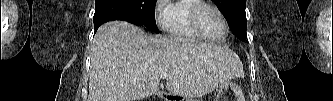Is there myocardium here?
Returning a JSON list of instances; mask_svg holds the SVG:
<instances>
[{"mask_svg": "<svg viewBox=\"0 0 333 101\" xmlns=\"http://www.w3.org/2000/svg\"><path fill=\"white\" fill-rule=\"evenodd\" d=\"M204 8H209V9L214 10L221 18L223 25H224V34L221 38H211L202 29L201 24H200V13ZM190 23H191L192 28L196 31V33L198 35H200L203 39H206V40H209L212 42H221V41L225 40L229 34L228 22L226 20V17L222 13V11L220 9H218L216 6H214L210 3H207V2H199L191 8Z\"/></svg>", "mask_w": 333, "mask_h": 101, "instance_id": "1", "label": "myocardium"}]
</instances>
